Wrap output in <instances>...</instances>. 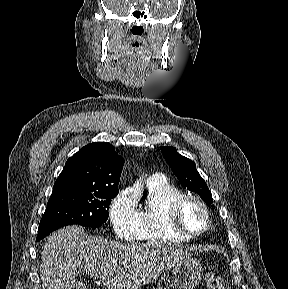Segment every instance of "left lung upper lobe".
<instances>
[{
    "instance_id": "obj_1",
    "label": "left lung upper lobe",
    "mask_w": 288,
    "mask_h": 289,
    "mask_svg": "<svg viewBox=\"0 0 288 289\" xmlns=\"http://www.w3.org/2000/svg\"><path fill=\"white\" fill-rule=\"evenodd\" d=\"M161 152L183 187L199 194L208 205L211 204L213 202L212 194L196 170L195 163L177 153L174 147H161Z\"/></svg>"
}]
</instances>
